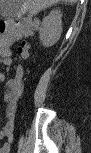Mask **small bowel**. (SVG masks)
<instances>
[{"label": "small bowel", "mask_w": 91, "mask_h": 153, "mask_svg": "<svg viewBox=\"0 0 91 153\" xmlns=\"http://www.w3.org/2000/svg\"><path fill=\"white\" fill-rule=\"evenodd\" d=\"M28 32L27 30H19V29H15L14 31H11V34H13L15 37H21L22 35H26ZM5 134L8 137V141L9 143L12 142L13 140V136H12V132L10 129L5 131Z\"/></svg>", "instance_id": "obj_1"}]
</instances>
